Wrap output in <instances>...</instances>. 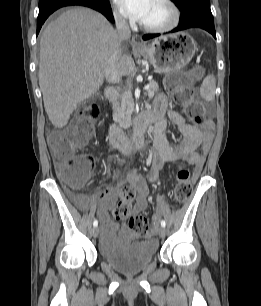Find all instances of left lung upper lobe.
<instances>
[{"mask_svg":"<svg viewBox=\"0 0 261 306\" xmlns=\"http://www.w3.org/2000/svg\"><path fill=\"white\" fill-rule=\"evenodd\" d=\"M180 11L190 7L201 6L210 9V0H171Z\"/></svg>","mask_w":261,"mask_h":306,"instance_id":"1","label":"left lung upper lobe"}]
</instances>
